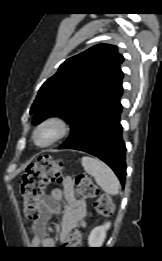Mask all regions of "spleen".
<instances>
[{
	"label": "spleen",
	"instance_id": "obj_1",
	"mask_svg": "<svg viewBox=\"0 0 162 261\" xmlns=\"http://www.w3.org/2000/svg\"><path fill=\"white\" fill-rule=\"evenodd\" d=\"M84 170L94 177L97 184L108 194L116 195L120 190V182L111 168L97 158L84 156L81 159Z\"/></svg>",
	"mask_w": 162,
	"mask_h": 261
}]
</instances>
